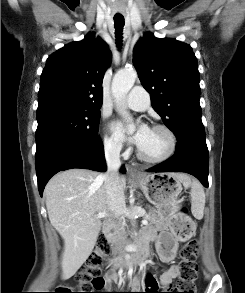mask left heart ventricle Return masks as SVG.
Segmentation results:
<instances>
[{"label":"left heart ventricle","mask_w":245,"mask_h":293,"mask_svg":"<svg viewBox=\"0 0 245 293\" xmlns=\"http://www.w3.org/2000/svg\"><path fill=\"white\" fill-rule=\"evenodd\" d=\"M169 147V139L166 133L160 130L151 129L140 150L148 157H159Z\"/></svg>","instance_id":"left-heart-ventricle-1"}]
</instances>
